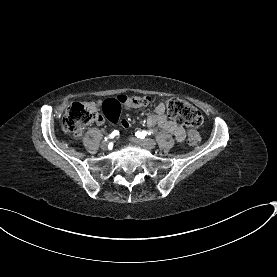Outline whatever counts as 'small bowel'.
I'll use <instances>...</instances> for the list:
<instances>
[{
  "label": "small bowel",
  "instance_id": "obj_1",
  "mask_svg": "<svg viewBox=\"0 0 277 277\" xmlns=\"http://www.w3.org/2000/svg\"><path fill=\"white\" fill-rule=\"evenodd\" d=\"M128 125L129 123L125 119L124 126L127 127ZM147 125L150 128L158 126L163 130L173 134L178 142H182L186 136L183 127L168 117L166 114V107L163 102H159L154 106L152 113L147 118Z\"/></svg>",
  "mask_w": 277,
  "mask_h": 277
}]
</instances>
